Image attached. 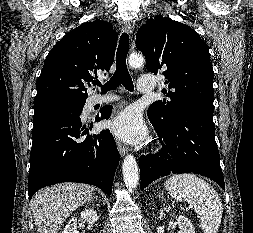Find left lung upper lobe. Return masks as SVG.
Here are the masks:
<instances>
[{"label": "left lung upper lobe", "instance_id": "obj_1", "mask_svg": "<svg viewBox=\"0 0 253 233\" xmlns=\"http://www.w3.org/2000/svg\"><path fill=\"white\" fill-rule=\"evenodd\" d=\"M136 47L146 57L147 70L162 72L168 100L150 105L148 115L162 129H169L181 113L213 107L214 72L210 54L198 33L187 25L161 15L142 25Z\"/></svg>", "mask_w": 253, "mask_h": 233}]
</instances>
